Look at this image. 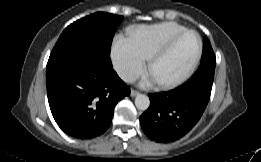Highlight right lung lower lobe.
<instances>
[{"mask_svg": "<svg viewBox=\"0 0 261 162\" xmlns=\"http://www.w3.org/2000/svg\"><path fill=\"white\" fill-rule=\"evenodd\" d=\"M46 85L55 121L65 133L79 139L104 133L115 105L130 94L113 70L110 52L88 45L52 52Z\"/></svg>", "mask_w": 261, "mask_h": 162, "instance_id": "1", "label": "right lung lower lobe"}]
</instances>
